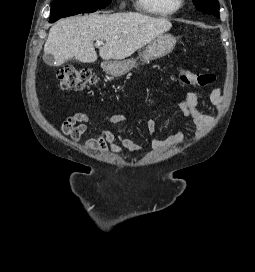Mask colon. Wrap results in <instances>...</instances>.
Masks as SVG:
<instances>
[{"label": "colon", "instance_id": "obj_1", "mask_svg": "<svg viewBox=\"0 0 255 272\" xmlns=\"http://www.w3.org/2000/svg\"><path fill=\"white\" fill-rule=\"evenodd\" d=\"M56 79L59 88L62 90L74 89L83 91L97 82V76L89 69L64 68L60 70ZM215 75L209 72H193L186 69H180L178 81L186 85L207 86L213 83Z\"/></svg>", "mask_w": 255, "mask_h": 272}]
</instances>
